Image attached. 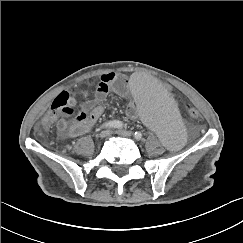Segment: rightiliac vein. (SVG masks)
<instances>
[{
    "label": "right iliac vein",
    "mask_w": 243,
    "mask_h": 243,
    "mask_svg": "<svg viewBox=\"0 0 243 243\" xmlns=\"http://www.w3.org/2000/svg\"><path fill=\"white\" fill-rule=\"evenodd\" d=\"M110 135V131L105 129V130H102L100 133H99V137L100 138H106L107 136Z\"/></svg>",
    "instance_id": "63e3f726"
}]
</instances>
